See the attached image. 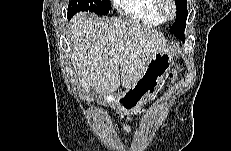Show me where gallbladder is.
Listing matches in <instances>:
<instances>
[{"label": "gallbladder", "mask_w": 231, "mask_h": 151, "mask_svg": "<svg viewBox=\"0 0 231 151\" xmlns=\"http://www.w3.org/2000/svg\"><path fill=\"white\" fill-rule=\"evenodd\" d=\"M85 97L87 100H93L95 97H97L96 90L93 87L89 86L85 91Z\"/></svg>", "instance_id": "1"}]
</instances>
